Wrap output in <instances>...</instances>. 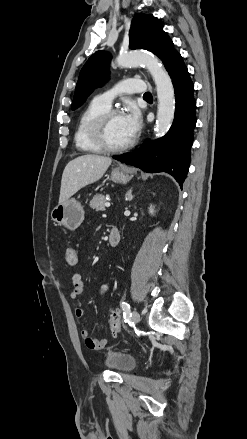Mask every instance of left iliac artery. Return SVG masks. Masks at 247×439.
<instances>
[{"label": "left iliac artery", "instance_id": "44dca946", "mask_svg": "<svg viewBox=\"0 0 247 439\" xmlns=\"http://www.w3.org/2000/svg\"><path fill=\"white\" fill-rule=\"evenodd\" d=\"M121 308L123 310L124 320H125V322H127L132 316L131 310H130V305L126 301H122Z\"/></svg>", "mask_w": 247, "mask_h": 439}]
</instances>
